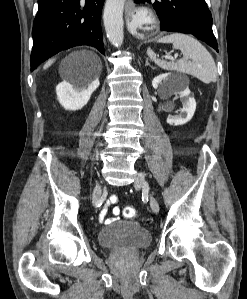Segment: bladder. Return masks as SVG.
Instances as JSON below:
<instances>
[{
	"label": "bladder",
	"mask_w": 247,
	"mask_h": 299,
	"mask_svg": "<svg viewBox=\"0 0 247 299\" xmlns=\"http://www.w3.org/2000/svg\"><path fill=\"white\" fill-rule=\"evenodd\" d=\"M150 232L134 221H116L98 233L99 244L113 250H138L151 244Z\"/></svg>",
	"instance_id": "bladder-1"
}]
</instances>
